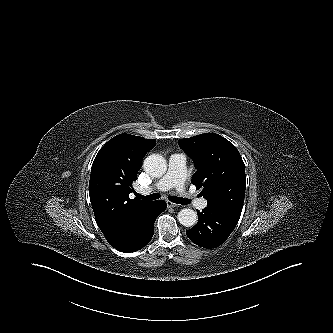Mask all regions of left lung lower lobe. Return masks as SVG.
<instances>
[{
  "label": "left lung lower lobe",
  "mask_w": 333,
  "mask_h": 333,
  "mask_svg": "<svg viewBox=\"0 0 333 333\" xmlns=\"http://www.w3.org/2000/svg\"><path fill=\"white\" fill-rule=\"evenodd\" d=\"M197 214V224L186 230V234L193 243L204 248H214L224 243L239 220L222 209L209 205L202 212L197 210Z\"/></svg>",
  "instance_id": "0a47b994"
}]
</instances>
